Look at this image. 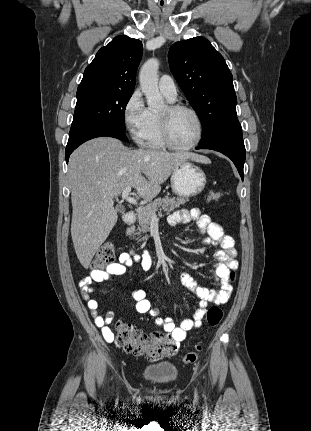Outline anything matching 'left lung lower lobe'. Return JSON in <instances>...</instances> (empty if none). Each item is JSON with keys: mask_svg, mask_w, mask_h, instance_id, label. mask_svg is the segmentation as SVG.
<instances>
[{"mask_svg": "<svg viewBox=\"0 0 311 431\" xmlns=\"http://www.w3.org/2000/svg\"><path fill=\"white\" fill-rule=\"evenodd\" d=\"M196 149H211L223 153L233 161L243 180V166L246 153L242 129L233 130L208 143L199 144Z\"/></svg>", "mask_w": 311, "mask_h": 431, "instance_id": "0a47b994", "label": "left lung lower lobe"}]
</instances>
